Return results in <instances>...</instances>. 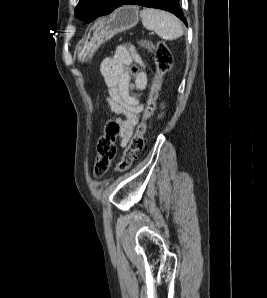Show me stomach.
Returning <instances> with one entry per match:
<instances>
[{
  "mask_svg": "<svg viewBox=\"0 0 267 298\" xmlns=\"http://www.w3.org/2000/svg\"><path fill=\"white\" fill-rule=\"evenodd\" d=\"M137 6L125 5L116 9L108 17L100 20L90 34L77 47L78 60L81 62L92 58L98 48L111 37L127 31L138 23Z\"/></svg>",
  "mask_w": 267,
  "mask_h": 298,
  "instance_id": "1",
  "label": "stomach"
}]
</instances>
